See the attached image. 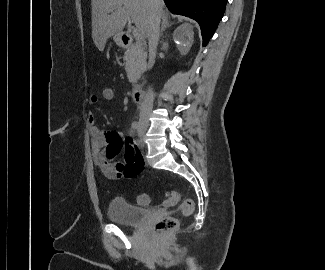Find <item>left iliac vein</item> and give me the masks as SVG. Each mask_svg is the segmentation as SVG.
I'll return each instance as SVG.
<instances>
[{"instance_id":"4c4485c4","label":"left iliac vein","mask_w":325,"mask_h":270,"mask_svg":"<svg viewBox=\"0 0 325 270\" xmlns=\"http://www.w3.org/2000/svg\"><path fill=\"white\" fill-rule=\"evenodd\" d=\"M138 133H139V138H140L139 144H140V146H143L144 145L143 144V137H144V134H145V129L140 128Z\"/></svg>"}]
</instances>
